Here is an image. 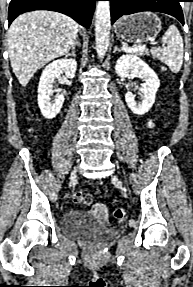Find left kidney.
<instances>
[{
	"mask_svg": "<svg viewBox=\"0 0 193 287\" xmlns=\"http://www.w3.org/2000/svg\"><path fill=\"white\" fill-rule=\"evenodd\" d=\"M115 71L121 78L132 75L142 79L144 83L140 88L141 102L136 101L135 95L131 92L125 94V100L133 113L143 115L148 112L155 102V95L160 85L158 76L153 69L138 56L126 54L117 59Z\"/></svg>",
	"mask_w": 193,
	"mask_h": 287,
	"instance_id": "5707ae66",
	"label": "left kidney"
}]
</instances>
